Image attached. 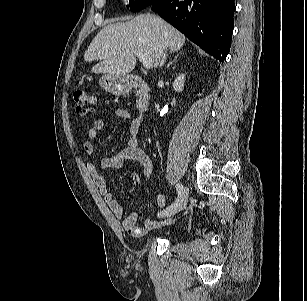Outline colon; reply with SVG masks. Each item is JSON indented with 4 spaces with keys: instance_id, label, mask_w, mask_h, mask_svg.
I'll use <instances>...</instances> for the list:
<instances>
[{
    "instance_id": "colon-1",
    "label": "colon",
    "mask_w": 307,
    "mask_h": 301,
    "mask_svg": "<svg viewBox=\"0 0 307 301\" xmlns=\"http://www.w3.org/2000/svg\"><path fill=\"white\" fill-rule=\"evenodd\" d=\"M76 113L79 116H86L94 113L97 109V98L89 91L81 90L74 93Z\"/></svg>"
}]
</instances>
